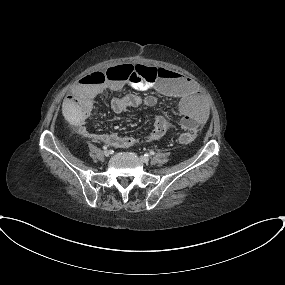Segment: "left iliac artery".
Instances as JSON below:
<instances>
[{"mask_svg":"<svg viewBox=\"0 0 285 285\" xmlns=\"http://www.w3.org/2000/svg\"><path fill=\"white\" fill-rule=\"evenodd\" d=\"M149 154H150V155H154L155 152H154L153 150H151V151L149 152ZM145 156H146V155H145Z\"/></svg>","mask_w":285,"mask_h":285,"instance_id":"1","label":"left iliac artery"}]
</instances>
